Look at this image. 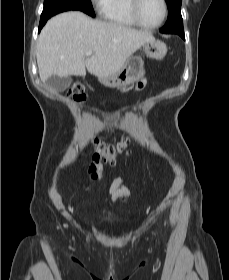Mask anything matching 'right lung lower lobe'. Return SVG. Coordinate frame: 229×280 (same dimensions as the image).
Returning <instances> with one entry per match:
<instances>
[{
	"label": "right lung lower lobe",
	"mask_w": 229,
	"mask_h": 280,
	"mask_svg": "<svg viewBox=\"0 0 229 280\" xmlns=\"http://www.w3.org/2000/svg\"><path fill=\"white\" fill-rule=\"evenodd\" d=\"M48 19H49L48 17L41 16L38 32H40V30L45 25V23L47 22Z\"/></svg>",
	"instance_id": "right-lung-lower-lobe-1"
}]
</instances>
